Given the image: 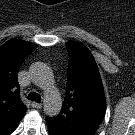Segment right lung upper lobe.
<instances>
[{"label": "right lung upper lobe", "instance_id": "cb5924a9", "mask_svg": "<svg viewBox=\"0 0 135 135\" xmlns=\"http://www.w3.org/2000/svg\"><path fill=\"white\" fill-rule=\"evenodd\" d=\"M36 45L10 40L0 47V135H10L25 115L19 96L18 71Z\"/></svg>", "mask_w": 135, "mask_h": 135}]
</instances>
